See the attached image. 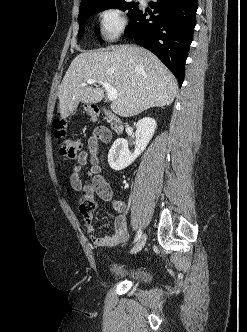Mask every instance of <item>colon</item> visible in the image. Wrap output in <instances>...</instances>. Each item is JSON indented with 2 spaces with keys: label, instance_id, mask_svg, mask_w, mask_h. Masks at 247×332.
Wrapping results in <instances>:
<instances>
[{
  "label": "colon",
  "instance_id": "5ec220e1",
  "mask_svg": "<svg viewBox=\"0 0 247 332\" xmlns=\"http://www.w3.org/2000/svg\"><path fill=\"white\" fill-rule=\"evenodd\" d=\"M86 111L92 119H96L99 115V110L95 106L87 107ZM54 126L56 128L55 135L58 140L57 151L59 155L68 159L76 158L82 146L81 140L77 137L66 135L64 120L57 119ZM94 210L95 204L92 200H87L80 205V212L87 219L92 215Z\"/></svg>",
  "mask_w": 247,
  "mask_h": 332
}]
</instances>
